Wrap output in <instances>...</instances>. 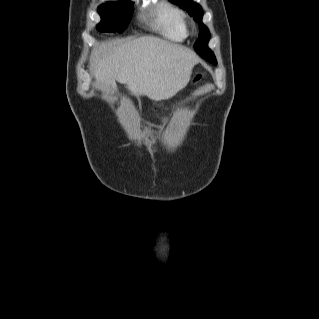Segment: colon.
I'll use <instances>...</instances> for the list:
<instances>
[{"instance_id": "1", "label": "colon", "mask_w": 319, "mask_h": 319, "mask_svg": "<svg viewBox=\"0 0 319 319\" xmlns=\"http://www.w3.org/2000/svg\"><path fill=\"white\" fill-rule=\"evenodd\" d=\"M200 77V75H197V78H199Z\"/></svg>"}]
</instances>
